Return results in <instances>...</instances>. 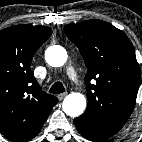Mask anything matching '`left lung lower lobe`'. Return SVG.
I'll return each mask as SVG.
<instances>
[{"instance_id": "0a47b994", "label": "left lung lower lobe", "mask_w": 142, "mask_h": 142, "mask_svg": "<svg viewBox=\"0 0 142 142\" xmlns=\"http://www.w3.org/2000/svg\"><path fill=\"white\" fill-rule=\"evenodd\" d=\"M74 123L79 133L90 141L102 142L113 136L97 129L90 121L83 117L75 118Z\"/></svg>"}]
</instances>
